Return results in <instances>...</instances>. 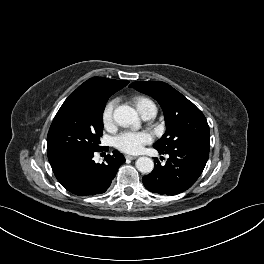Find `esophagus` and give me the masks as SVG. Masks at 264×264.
<instances>
[{"label":"esophagus","instance_id":"34e87169","mask_svg":"<svg viewBox=\"0 0 264 264\" xmlns=\"http://www.w3.org/2000/svg\"><path fill=\"white\" fill-rule=\"evenodd\" d=\"M125 158L126 159H129V160H134V159L137 158V156L136 155H129V154H127V155H125Z\"/></svg>","mask_w":264,"mask_h":264}]
</instances>
